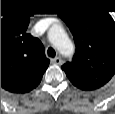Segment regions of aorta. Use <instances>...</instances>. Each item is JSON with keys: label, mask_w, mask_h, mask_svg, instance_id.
Masks as SVG:
<instances>
[{"label": "aorta", "mask_w": 115, "mask_h": 114, "mask_svg": "<svg viewBox=\"0 0 115 114\" xmlns=\"http://www.w3.org/2000/svg\"><path fill=\"white\" fill-rule=\"evenodd\" d=\"M50 39L58 50L64 55H71L74 51L73 44L66 32L59 26L54 27L49 33Z\"/></svg>", "instance_id": "aorta-1"}]
</instances>
